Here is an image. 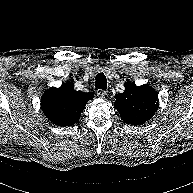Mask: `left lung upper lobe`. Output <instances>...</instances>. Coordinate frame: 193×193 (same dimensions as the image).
Segmentation results:
<instances>
[{"label":"left lung upper lobe","instance_id":"5c2ea615","mask_svg":"<svg viewBox=\"0 0 193 193\" xmlns=\"http://www.w3.org/2000/svg\"><path fill=\"white\" fill-rule=\"evenodd\" d=\"M125 91L115 96L114 107L126 124L140 125L150 120L158 109L157 92L148 84L126 82Z\"/></svg>","mask_w":193,"mask_h":193}]
</instances>
